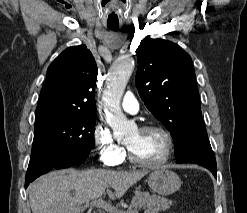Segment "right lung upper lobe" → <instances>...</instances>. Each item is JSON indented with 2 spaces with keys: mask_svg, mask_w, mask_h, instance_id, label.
<instances>
[{
  "mask_svg": "<svg viewBox=\"0 0 247 213\" xmlns=\"http://www.w3.org/2000/svg\"><path fill=\"white\" fill-rule=\"evenodd\" d=\"M95 59L85 45L69 47L49 66L36 115L49 112L96 113Z\"/></svg>",
  "mask_w": 247,
  "mask_h": 213,
  "instance_id": "1",
  "label": "right lung upper lobe"
}]
</instances>
